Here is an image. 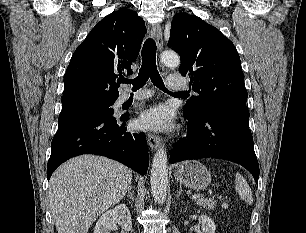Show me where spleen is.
<instances>
[{
    "label": "spleen",
    "mask_w": 306,
    "mask_h": 233,
    "mask_svg": "<svg viewBox=\"0 0 306 233\" xmlns=\"http://www.w3.org/2000/svg\"><path fill=\"white\" fill-rule=\"evenodd\" d=\"M235 190L242 200H244L250 205L253 203L251 188L249 187L247 181L239 173H236Z\"/></svg>",
    "instance_id": "1"
}]
</instances>
